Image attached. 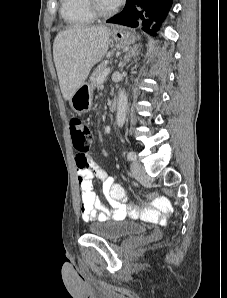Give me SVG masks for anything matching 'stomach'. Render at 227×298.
I'll return each instance as SVG.
<instances>
[{
	"label": "stomach",
	"instance_id": "0dacf381",
	"mask_svg": "<svg viewBox=\"0 0 227 298\" xmlns=\"http://www.w3.org/2000/svg\"><path fill=\"white\" fill-rule=\"evenodd\" d=\"M113 40L123 47H128L135 42V35L123 28H116L111 32ZM93 89L88 83H83L69 100L71 108L78 114H84L91 110Z\"/></svg>",
	"mask_w": 227,
	"mask_h": 298
}]
</instances>
